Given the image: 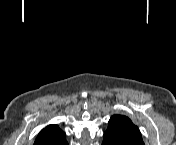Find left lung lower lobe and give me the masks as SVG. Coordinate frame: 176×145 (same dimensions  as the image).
<instances>
[{
    "label": "left lung lower lobe",
    "mask_w": 176,
    "mask_h": 145,
    "mask_svg": "<svg viewBox=\"0 0 176 145\" xmlns=\"http://www.w3.org/2000/svg\"><path fill=\"white\" fill-rule=\"evenodd\" d=\"M102 145H120V144L111 137H109L108 135H104Z\"/></svg>",
    "instance_id": "obj_1"
}]
</instances>
